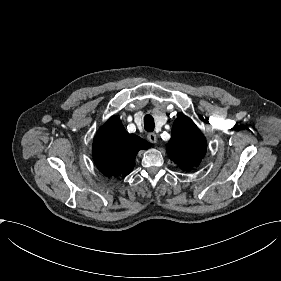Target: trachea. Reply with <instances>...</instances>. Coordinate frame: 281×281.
Here are the masks:
<instances>
[{"label": "trachea", "instance_id": "obj_1", "mask_svg": "<svg viewBox=\"0 0 281 281\" xmlns=\"http://www.w3.org/2000/svg\"><path fill=\"white\" fill-rule=\"evenodd\" d=\"M144 128L148 132H152L154 130V119L149 114L144 117Z\"/></svg>", "mask_w": 281, "mask_h": 281}]
</instances>
